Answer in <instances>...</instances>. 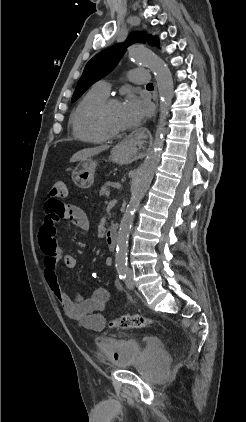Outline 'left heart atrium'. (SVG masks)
Segmentation results:
<instances>
[{
  "instance_id": "39dd6f15",
  "label": "left heart atrium",
  "mask_w": 246,
  "mask_h": 422,
  "mask_svg": "<svg viewBox=\"0 0 246 422\" xmlns=\"http://www.w3.org/2000/svg\"><path fill=\"white\" fill-rule=\"evenodd\" d=\"M147 114V106L135 95H128L121 105V118L124 128L140 124Z\"/></svg>"
}]
</instances>
